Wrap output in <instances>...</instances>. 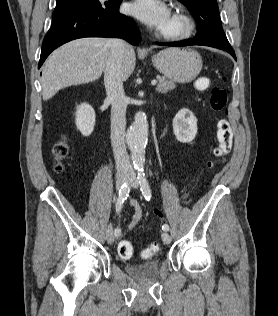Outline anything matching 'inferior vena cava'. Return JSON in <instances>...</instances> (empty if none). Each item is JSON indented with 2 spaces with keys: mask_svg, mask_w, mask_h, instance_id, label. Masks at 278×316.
<instances>
[{
  "mask_svg": "<svg viewBox=\"0 0 278 316\" xmlns=\"http://www.w3.org/2000/svg\"><path fill=\"white\" fill-rule=\"evenodd\" d=\"M111 52L104 69L107 99L111 102V144L118 173L132 171L126 152L124 133L126 127L127 98L124 93L121 64L128 44L121 39L110 41Z\"/></svg>",
  "mask_w": 278,
  "mask_h": 316,
  "instance_id": "obj_1",
  "label": "inferior vena cava"
}]
</instances>
